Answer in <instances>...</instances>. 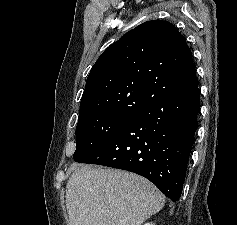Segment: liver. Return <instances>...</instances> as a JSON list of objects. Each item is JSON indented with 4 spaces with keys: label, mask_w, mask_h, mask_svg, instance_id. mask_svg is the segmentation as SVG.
<instances>
[{
    "label": "liver",
    "mask_w": 237,
    "mask_h": 225,
    "mask_svg": "<svg viewBox=\"0 0 237 225\" xmlns=\"http://www.w3.org/2000/svg\"><path fill=\"white\" fill-rule=\"evenodd\" d=\"M164 203L147 179L118 169L80 165L66 185L70 225H141Z\"/></svg>",
    "instance_id": "liver-1"
}]
</instances>
